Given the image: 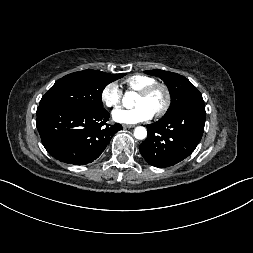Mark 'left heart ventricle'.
Wrapping results in <instances>:
<instances>
[{
  "label": "left heart ventricle",
  "mask_w": 253,
  "mask_h": 253,
  "mask_svg": "<svg viewBox=\"0 0 253 253\" xmlns=\"http://www.w3.org/2000/svg\"><path fill=\"white\" fill-rule=\"evenodd\" d=\"M164 102V94L162 91L158 90L156 91L152 96L150 97H143L141 95H137L135 99V105L144 104L148 108L152 110L154 113L158 108L161 107V105Z\"/></svg>",
  "instance_id": "left-heart-ventricle-1"
}]
</instances>
